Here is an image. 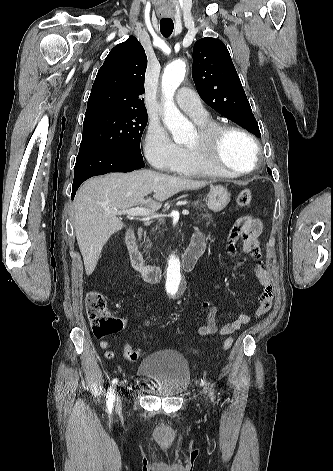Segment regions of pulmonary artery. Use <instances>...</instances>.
Wrapping results in <instances>:
<instances>
[{"label":"pulmonary artery","instance_id":"1","mask_svg":"<svg viewBox=\"0 0 333 471\" xmlns=\"http://www.w3.org/2000/svg\"><path fill=\"white\" fill-rule=\"evenodd\" d=\"M176 102L183 112L194 118L196 121H200L207 117V113L203 108L200 99L188 88H181L178 91Z\"/></svg>","mask_w":333,"mask_h":471}]
</instances>
